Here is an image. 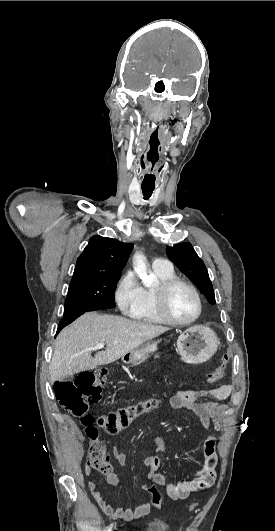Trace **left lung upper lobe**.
<instances>
[{"instance_id": "left-lung-upper-lobe-1", "label": "left lung upper lobe", "mask_w": 275, "mask_h": 531, "mask_svg": "<svg viewBox=\"0 0 275 531\" xmlns=\"http://www.w3.org/2000/svg\"><path fill=\"white\" fill-rule=\"evenodd\" d=\"M169 259L205 295L210 304H215V295L204 262L198 257L190 243H180L167 247Z\"/></svg>"}]
</instances>
